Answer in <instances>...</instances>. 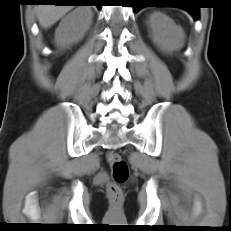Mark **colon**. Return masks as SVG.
Returning a JSON list of instances; mask_svg holds the SVG:
<instances>
[{
	"label": "colon",
	"instance_id": "1",
	"mask_svg": "<svg viewBox=\"0 0 231 231\" xmlns=\"http://www.w3.org/2000/svg\"><path fill=\"white\" fill-rule=\"evenodd\" d=\"M107 161L113 177V183L108 186V194L113 200H118L122 196L120 185L128 179L129 167L121 155L116 152H110L107 155Z\"/></svg>",
	"mask_w": 231,
	"mask_h": 231
}]
</instances>
